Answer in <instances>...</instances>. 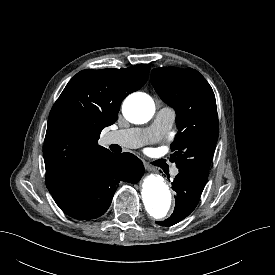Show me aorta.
I'll return each mask as SVG.
<instances>
[{"mask_svg": "<svg viewBox=\"0 0 275 275\" xmlns=\"http://www.w3.org/2000/svg\"><path fill=\"white\" fill-rule=\"evenodd\" d=\"M122 111L131 123L143 124L154 115L155 103L149 95L136 93L124 101ZM141 195L146 211L155 219L165 218L173 206L169 186L160 175L150 174L144 178Z\"/></svg>", "mask_w": 275, "mask_h": 275, "instance_id": "obj_1", "label": "aorta"}]
</instances>
